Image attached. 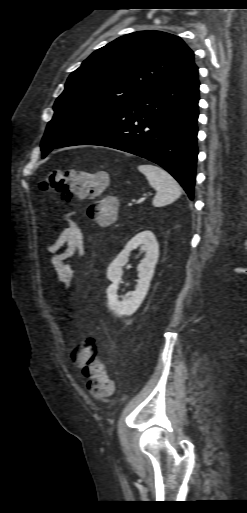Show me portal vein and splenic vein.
<instances>
[{
	"mask_svg": "<svg viewBox=\"0 0 247 513\" xmlns=\"http://www.w3.org/2000/svg\"><path fill=\"white\" fill-rule=\"evenodd\" d=\"M145 201V197L141 198L137 203H142ZM129 205H132V203H129Z\"/></svg>",
	"mask_w": 247,
	"mask_h": 513,
	"instance_id": "18ae733b",
	"label": "portal vein and splenic vein"
}]
</instances>
